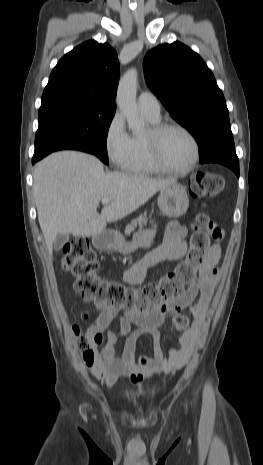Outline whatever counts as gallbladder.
I'll list each match as a JSON object with an SVG mask.
<instances>
[{
    "label": "gallbladder",
    "instance_id": "bac80fb5",
    "mask_svg": "<svg viewBox=\"0 0 263 465\" xmlns=\"http://www.w3.org/2000/svg\"><path fill=\"white\" fill-rule=\"evenodd\" d=\"M69 240L68 234H60L56 237L54 241V250H60Z\"/></svg>",
    "mask_w": 263,
    "mask_h": 465
}]
</instances>
